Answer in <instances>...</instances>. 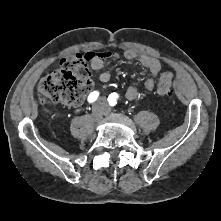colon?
I'll use <instances>...</instances> for the list:
<instances>
[{"label": "colon", "instance_id": "colon-1", "mask_svg": "<svg viewBox=\"0 0 221 221\" xmlns=\"http://www.w3.org/2000/svg\"><path fill=\"white\" fill-rule=\"evenodd\" d=\"M87 61L86 56L78 53L63 57L60 68L40 80L37 89L41 99L78 105L93 83ZM173 79L171 72H164L158 81L157 93L169 97Z\"/></svg>", "mask_w": 221, "mask_h": 221}]
</instances>
